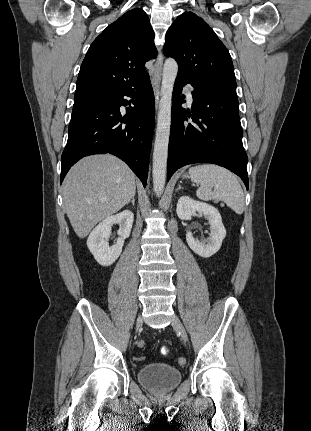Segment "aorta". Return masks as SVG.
Listing matches in <instances>:
<instances>
[{"label":"aorta","mask_w":311,"mask_h":431,"mask_svg":"<svg viewBox=\"0 0 311 431\" xmlns=\"http://www.w3.org/2000/svg\"><path fill=\"white\" fill-rule=\"evenodd\" d=\"M178 72V64L168 58L164 64L161 82V100L155 134L152 178L156 196H161L166 182L168 146L171 130V106L174 82Z\"/></svg>","instance_id":"762f6f07"}]
</instances>
